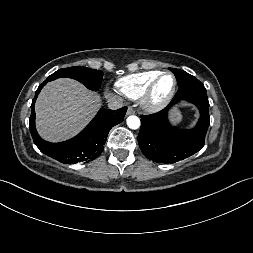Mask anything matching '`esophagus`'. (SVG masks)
Wrapping results in <instances>:
<instances>
[{
    "label": "esophagus",
    "instance_id": "34e87169",
    "mask_svg": "<svg viewBox=\"0 0 253 253\" xmlns=\"http://www.w3.org/2000/svg\"><path fill=\"white\" fill-rule=\"evenodd\" d=\"M135 111L132 107H129L128 110H127V115H131V114H134Z\"/></svg>",
    "mask_w": 253,
    "mask_h": 253
}]
</instances>
